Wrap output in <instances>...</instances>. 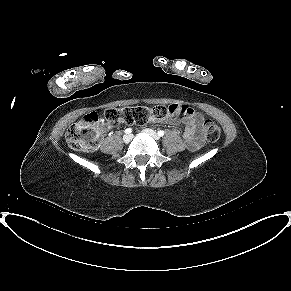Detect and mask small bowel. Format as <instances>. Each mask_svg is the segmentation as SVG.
Returning a JSON list of instances; mask_svg holds the SVG:
<instances>
[{
  "label": "small bowel",
  "mask_w": 291,
  "mask_h": 291,
  "mask_svg": "<svg viewBox=\"0 0 291 291\" xmlns=\"http://www.w3.org/2000/svg\"><path fill=\"white\" fill-rule=\"evenodd\" d=\"M181 118L165 117L163 119H154L152 122H163L172 127H178L183 125L184 132L182 138L189 151L198 150L204 143V132H203V117L196 113L194 109L187 106V110L181 113Z\"/></svg>",
  "instance_id": "small-bowel-1"
}]
</instances>
